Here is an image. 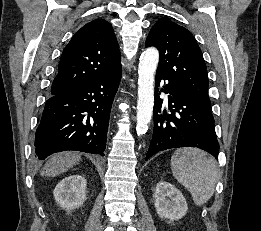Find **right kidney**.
I'll return each mask as SVG.
<instances>
[{
    "instance_id": "right-kidney-1",
    "label": "right kidney",
    "mask_w": 261,
    "mask_h": 231,
    "mask_svg": "<svg viewBox=\"0 0 261 231\" xmlns=\"http://www.w3.org/2000/svg\"><path fill=\"white\" fill-rule=\"evenodd\" d=\"M86 184V179L81 175L65 177L54 189L56 202L68 211L82 206L86 199Z\"/></svg>"
}]
</instances>
